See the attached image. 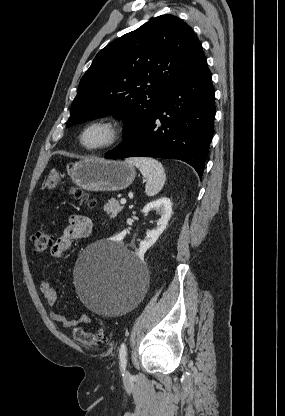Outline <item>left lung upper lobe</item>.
Masks as SVG:
<instances>
[{
	"label": "left lung upper lobe",
	"mask_w": 285,
	"mask_h": 416,
	"mask_svg": "<svg viewBox=\"0 0 285 416\" xmlns=\"http://www.w3.org/2000/svg\"><path fill=\"white\" fill-rule=\"evenodd\" d=\"M204 57L190 26L161 15L103 48L80 80L66 127L113 114L123 138L144 124Z\"/></svg>",
	"instance_id": "5c2ea615"
}]
</instances>
